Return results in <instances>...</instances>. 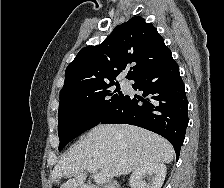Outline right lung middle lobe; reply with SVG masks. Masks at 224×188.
I'll return each instance as SVG.
<instances>
[{
	"instance_id": "dd1d6c3e",
	"label": "right lung middle lobe",
	"mask_w": 224,
	"mask_h": 188,
	"mask_svg": "<svg viewBox=\"0 0 224 188\" xmlns=\"http://www.w3.org/2000/svg\"><path fill=\"white\" fill-rule=\"evenodd\" d=\"M125 96L120 91L119 82L60 92L59 151L71 140L98 125L114 108L122 103Z\"/></svg>"
}]
</instances>
